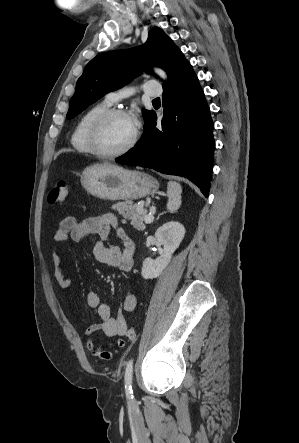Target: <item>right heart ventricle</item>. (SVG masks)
Segmentation results:
<instances>
[{"label":"right heart ventricle","instance_id":"obj_1","mask_svg":"<svg viewBox=\"0 0 299 443\" xmlns=\"http://www.w3.org/2000/svg\"><path fill=\"white\" fill-rule=\"evenodd\" d=\"M111 104L106 100L101 101L90 107L77 121L71 135V144L73 148L82 154H91L87 142V133L92 121L103 111L110 109Z\"/></svg>","mask_w":299,"mask_h":443}]
</instances>
